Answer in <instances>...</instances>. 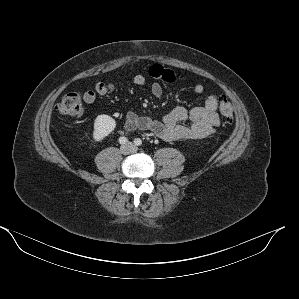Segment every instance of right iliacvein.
<instances>
[{"label": "right iliac vein", "instance_id": "1", "mask_svg": "<svg viewBox=\"0 0 299 299\" xmlns=\"http://www.w3.org/2000/svg\"><path fill=\"white\" fill-rule=\"evenodd\" d=\"M121 153L123 154H127L129 152V147L126 145V146H122L121 149H120Z\"/></svg>", "mask_w": 299, "mask_h": 299}]
</instances>
